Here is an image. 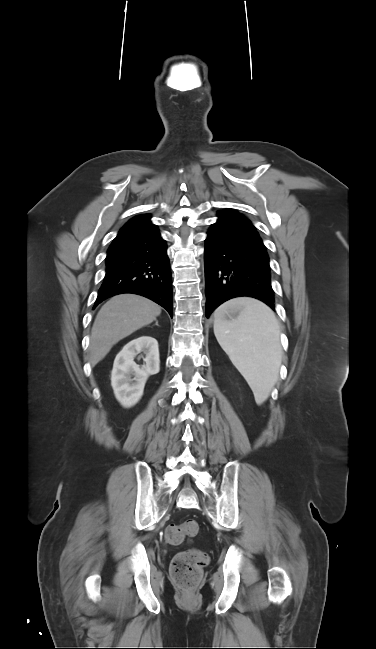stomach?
<instances>
[{"mask_svg": "<svg viewBox=\"0 0 376 649\" xmlns=\"http://www.w3.org/2000/svg\"><path fill=\"white\" fill-rule=\"evenodd\" d=\"M239 313H240V309L234 308V309L229 310L227 315L229 317H231V316H237Z\"/></svg>", "mask_w": 376, "mask_h": 649, "instance_id": "stomach-1", "label": "stomach"}]
</instances>
